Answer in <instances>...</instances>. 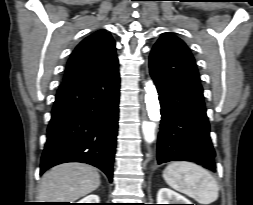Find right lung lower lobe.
<instances>
[{
  "label": "right lung lower lobe",
  "instance_id": "obj_1",
  "mask_svg": "<svg viewBox=\"0 0 253 205\" xmlns=\"http://www.w3.org/2000/svg\"><path fill=\"white\" fill-rule=\"evenodd\" d=\"M118 61L95 74L63 82L56 94L40 173L65 162H83L113 180L118 130Z\"/></svg>",
  "mask_w": 253,
  "mask_h": 205
}]
</instances>
